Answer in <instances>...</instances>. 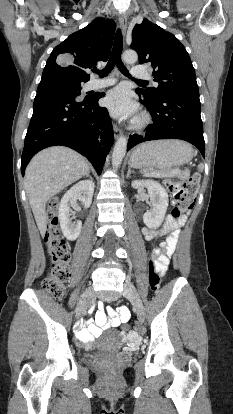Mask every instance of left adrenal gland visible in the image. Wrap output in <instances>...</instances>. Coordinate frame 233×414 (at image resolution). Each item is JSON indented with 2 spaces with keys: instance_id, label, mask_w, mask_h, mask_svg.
<instances>
[{
  "instance_id": "1",
  "label": "left adrenal gland",
  "mask_w": 233,
  "mask_h": 414,
  "mask_svg": "<svg viewBox=\"0 0 233 414\" xmlns=\"http://www.w3.org/2000/svg\"><path fill=\"white\" fill-rule=\"evenodd\" d=\"M131 173H134V171L131 170L130 166H128V171H127V178H130Z\"/></svg>"
}]
</instances>
